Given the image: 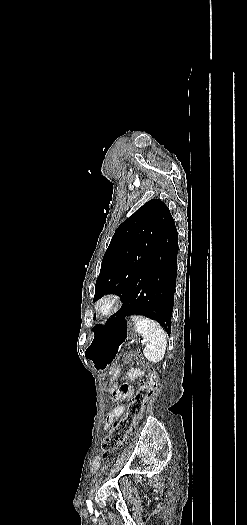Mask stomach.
Wrapping results in <instances>:
<instances>
[{"instance_id":"obj_1","label":"stomach","mask_w":247,"mask_h":525,"mask_svg":"<svg viewBox=\"0 0 247 525\" xmlns=\"http://www.w3.org/2000/svg\"><path fill=\"white\" fill-rule=\"evenodd\" d=\"M136 335L132 318H110L94 327L85 356L96 370L104 371L114 361L121 346Z\"/></svg>"}]
</instances>
